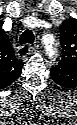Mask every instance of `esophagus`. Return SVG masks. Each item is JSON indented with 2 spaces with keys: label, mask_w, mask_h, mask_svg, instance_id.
Segmentation results:
<instances>
[{
  "label": "esophagus",
  "mask_w": 77,
  "mask_h": 125,
  "mask_svg": "<svg viewBox=\"0 0 77 125\" xmlns=\"http://www.w3.org/2000/svg\"><path fill=\"white\" fill-rule=\"evenodd\" d=\"M34 51V46L31 44H24L20 46L17 50V53L21 57H26Z\"/></svg>",
  "instance_id": "1"
}]
</instances>
